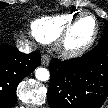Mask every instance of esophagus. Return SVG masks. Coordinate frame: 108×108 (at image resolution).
Segmentation results:
<instances>
[{
	"label": "esophagus",
	"instance_id": "esophagus-1",
	"mask_svg": "<svg viewBox=\"0 0 108 108\" xmlns=\"http://www.w3.org/2000/svg\"><path fill=\"white\" fill-rule=\"evenodd\" d=\"M42 65L48 66L50 63V56L48 54H43L41 57Z\"/></svg>",
	"mask_w": 108,
	"mask_h": 108
}]
</instances>
